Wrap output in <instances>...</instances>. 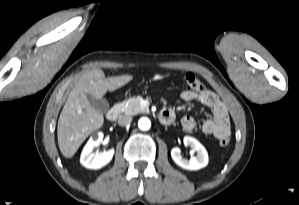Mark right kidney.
I'll return each instance as SVG.
<instances>
[{"mask_svg": "<svg viewBox=\"0 0 299 205\" xmlns=\"http://www.w3.org/2000/svg\"><path fill=\"white\" fill-rule=\"evenodd\" d=\"M103 139V133L98 132L94 134L86 143L81 153L80 162L88 169H100L107 165L113 158L114 149L103 151L101 153H94L93 150L97 147Z\"/></svg>", "mask_w": 299, "mask_h": 205, "instance_id": "1", "label": "right kidney"}]
</instances>
